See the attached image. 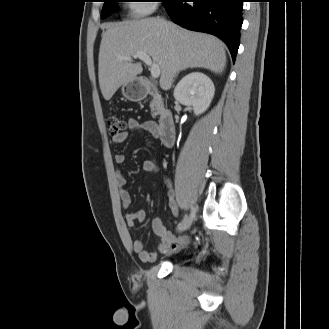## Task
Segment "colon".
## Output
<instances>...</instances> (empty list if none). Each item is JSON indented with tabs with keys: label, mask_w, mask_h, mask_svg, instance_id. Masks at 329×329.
Masks as SVG:
<instances>
[{
	"label": "colon",
	"mask_w": 329,
	"mask_h": 329,
	"mask_svg": "<svg viewBox=\"0 0 329 329\" xmlns=\"http://www.w3.org/2000/svg\"><path fill=\"white\" fill-rule=\"evenodd\" d=\"M109 131L112 136L121 134L125 131L124 122L118 117H110L108 120Z\"/></svg>",
	"instance_id": "5ec220e1"
}]
</instances>
